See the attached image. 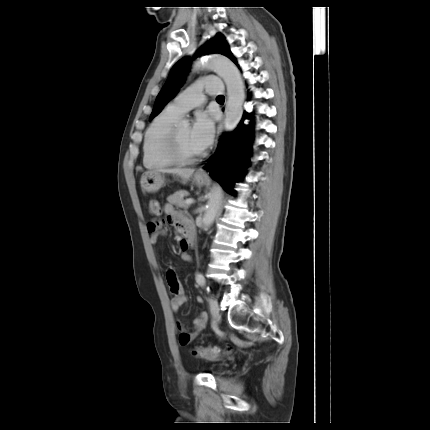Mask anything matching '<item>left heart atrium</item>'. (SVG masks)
<instances>
[{"label": "left heart atrium", "mask_w": 430, "mask_h": 430, "mask_svg": "<svg viewBox=\"0 0 430 430\" xmlns=\"http://www.w3.org/2000/svg\"><path fill=\"white\" fill-rule=\"evenodd\" d=\"M214 123L208 113H200L191 127V142L199 151L205 150L213 140Z\"/></svg>", "instance_id": "1"}]
</instances>
